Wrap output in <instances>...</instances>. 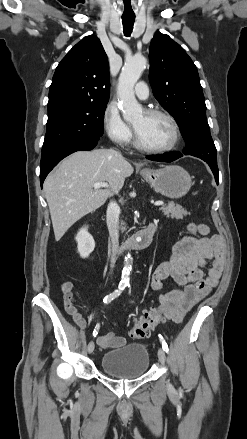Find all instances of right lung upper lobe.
<instances>
[{
  "label": "right lung upper lobe",
  "mask_w": 247,
  "mask_h": 439,
  "mask_svg": "<svg viewBox=\"0 0 247 439\" xmlns=\"http://www.w3.org/2000/svg\"><path fill=\"white\" fill-rule=\"evenodd\" d=\"M107 55L95 35L86 36L61 60L49 90L48 105L73 100L104 103L109 100Z\"/></svg>",
  "instance_id": "cb5924a9"
}]
</instances>
